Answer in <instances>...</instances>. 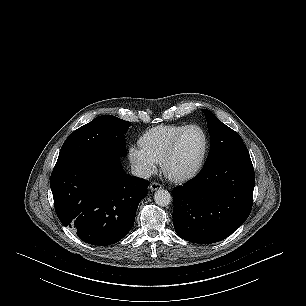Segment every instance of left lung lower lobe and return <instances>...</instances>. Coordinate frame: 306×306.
I'll return each mask as SVG.
<instances>
[{"label": "left lung lower lobe", "instance_id": "left-lung-lower-lobe-1", "mask_svg": "<svg viewBox=\"0 0 306 306\" xmlns=\"http://www.w3.org/2000/svg\"><path fill=\"white\" fill-rule=\"evenodd\" d=\"M255 184L250 155L226 157L173 190V225L190 242L210 244L227 238L248 218Z\"/></svg>", "mask_w": 306, "mask_h": 306}]
</instances>
